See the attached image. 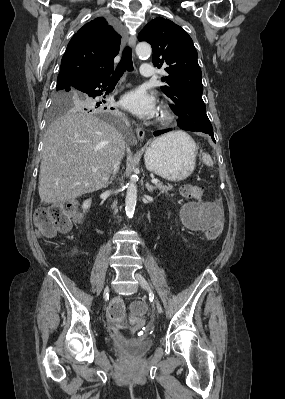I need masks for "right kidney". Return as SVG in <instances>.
<instances>
[{"label":"right kidney","instance_id":"right-kidney-1","mask_svg":"<svg viewBox=\"0 0 285 399\" xmlns=\"http://www.w3.org/2000/svg\"><path fill=\"white\" fill-rule=\"evenodd\" d=\"M90 206H91V199H88V200L84 201L82 208L84 211H86L90 208Z\"/></svg>","mask_w":285,"mask_h":399}]
</instances>
